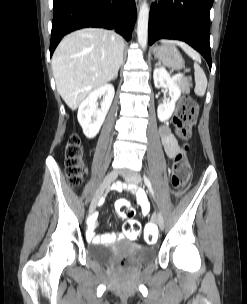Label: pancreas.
<instances>
[{"mask_svg": "<svg viewBox=\"0 0 247 304\" xmlns=\"http://www.w3.org/2000/svg\"><path fill=\"white\" fill-rule=\"evenodd\" d=\"M177 84L181 87L182 91H184L185 93H190L191 84L188 79L180 78L179 80H177Z\"/></svg>", "mask_w": 247, "mask_h": 304, "instance_id": "pancreas-1", "label": "pancreas"}]
</instances>
